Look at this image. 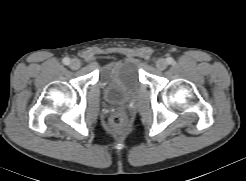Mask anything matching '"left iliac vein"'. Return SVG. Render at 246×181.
Returning a JSON list of instances; mask_svg holds the SVG:
<instances>
[{
	"label": "left iliac vein",
	"instance_id": "left-iliac-vein-1",
	"mask_svg": "<svg viewBox=\"0 0 246 181\" xmlns=\"http://www.w3.org/2000/svg\"><path fill=\"white\" fill-rule=\"evenodd\" d=\"M167 66H168V63H167V61L165 59L161 58V59H158L156 61V67L159 70H165L167 68Z\"/></svg>",
	"mask_w": 246,
	"mask_h": 181
}]
</instances>
